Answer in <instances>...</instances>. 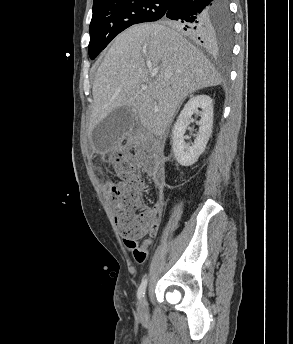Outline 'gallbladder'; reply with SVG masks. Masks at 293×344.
<instances>
[{"label":"gallbladder","mask_w":293,"mask_h":344,"mask_svg":"<svg viewBox=\"0 0 293 344\" xmlns=\"http://www.w3.org/2000/svg\"><path fill=\"white\" fill-rule=\"evenodd\" d=\"M136 119L135 112L120 107L109 113L92 131V141L98 152H106L115 145L123 134L131 130Z\"/></svg>","instance_id":"obj_1"}]
</instances>
